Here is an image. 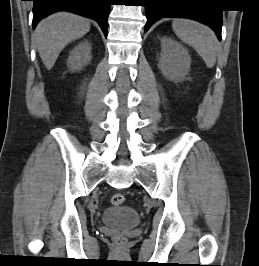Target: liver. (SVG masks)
<instances>
[{"label": "liver", "mask_w": 259, "mask_h": 266, "mask_svg": "<svg viewBox=\"0 0 259 266\" xmlns=\"http://www.w3.org/2000/svg\"><path fill=\"white\" fill-rule=\"evenodd\" d=\"M89 30V20L68 12L55 13L41 20L34 39L45 67L50 70L65 46Z\"/></svg>", "instance_id": "1"}]
</instances>
